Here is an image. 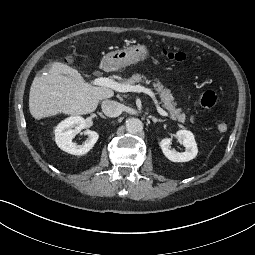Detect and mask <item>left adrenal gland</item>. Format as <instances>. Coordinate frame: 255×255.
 Returning a JSON list of instances; mask_svg holds the SVG:
<instances>
[{
	"mask_svg": "<svg viewBox=\"0 0 255 255\" xmlns=\"http://www.w3.org/2000/svg\"><path fill=\"white\" fill-rule=\"evenodd\" d=\"M150 118L152 119V121L154 122V123H157V122H165L166 120H162V119H157L156 117H154V116H150Z\"/></svg>",
	"mask_w": 255,
	"mask_h": 255,
	"instance_id": "1",
	"label": "left adrenal gland"
}]
</instances>
